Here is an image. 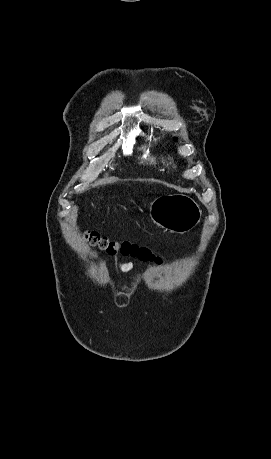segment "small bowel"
Returning <instances> with one entry per match:
<instances>
[{
    "instance_id": "small-bowel-1",
    "label": "small bowel",
    "mask_w": 271,
    "mask_h": 459,
    "mask_svg": "<svg viewBox=\"0 0 271 459\" xmlns=\"http://www.w3.org/2000/svg\"><path fill=\"white\" fill-rule=\"evenodd\" d=\"M135 264L133 262L121 263L119 265L120 269L124 272H128L134 268Z\"/></svg>"
}]
</instances>
